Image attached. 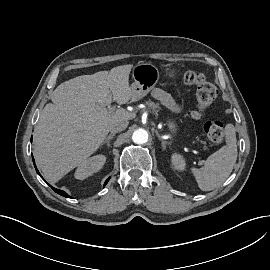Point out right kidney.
I'll use <instances>...</instances> for the list:
<instances>
[{
  "label": "right kidney",
  "mask_w": 270,
  "mask_h": 270,
  "mask_svg": "<svg viewBox=\"0 0 270 270\" xmlns=\"http://www.w3.org/2000/svg\"><path fill=\"white\" fill-rule=\"evenodd\" d=\"M106 157L104 155H95L84 160L75 171V178L84 180L87 177L98 172L104 165Z\"/></svg>",
  "instance_id": "obj_1"
}]
</instances>
